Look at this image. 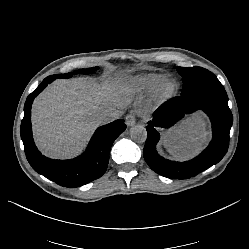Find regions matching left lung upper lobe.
I'll use <instances>...</instances> for the list:
<instances>
[{
    "instance_id": "obj_1",
    "label": "left lung upper lobe",
    "mask_w": 249,
    "mask_h": 249,
    "mask_svg": "<svg viewBox=\"0 0 249 249\" xmlns=\"http://www.w3.org/2000/svg\"><path fill=\"white\" fill-rule=\"evenodd\" d=\"M177 70L183 78L181 94H188L197 89L208 86H222L220 81L212 72L202 67H177Z\"/></svg>"
}]
</instances>
